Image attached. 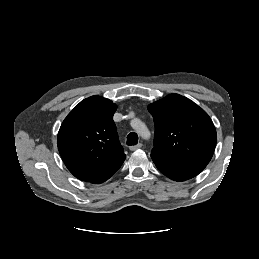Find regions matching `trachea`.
<instances>
[{
	"label": "trachea",
	"mask_w": 259,
	"mask_h": 259,
	"mask_svg": "<svg viewBox=\"0 0 259 259\" xmlns=\"http://www.w3.org/2000/svg\"><path fill=\"white\" fill-rule=\"evenodd\" d=\"M138 143V135L135 132H131L127 136V145L134 146Z\"/></svg>",
	"instance_id": "obj_1"
}]
</instances>
